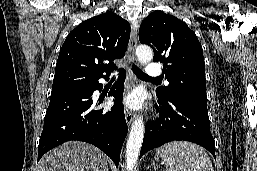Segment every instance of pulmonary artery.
<instances>
[{
    "instance_id": "1",
    "label": "pulmonary artery",
    "mask_w": 257,
    "mask_h": 171,
    "mask_svg": "<svg viewBox=\"0 0 257 171\" xmlns=\"http://www.w3.org/2000/svg\"><path fill=\"white\" fill-rule=\"evenodd\" d=\"M146 74L151 78L160 76L161 68H160L159 64L153 63V62L149 63L146 68Z\"/></svg>"
}]
</instances>
